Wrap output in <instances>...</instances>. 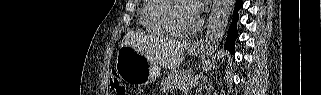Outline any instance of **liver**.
<instances>
[{
	"label": "liver",
	"instance_id": "1",
	"mask_svg": "<svg viewBox=\"0 0 321 95\" xmlns=\"http://www.w3.org/2000/svg\"><path fill=\"white\" fill-rule=\"evenodd\" d=\"M122 46H131L165 69L180 66L188 43L173 39H153L139 31H128Z\"/></svg>",
	"mask_w": 321,
	"mask_h": 95
}]
</instances>
